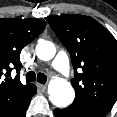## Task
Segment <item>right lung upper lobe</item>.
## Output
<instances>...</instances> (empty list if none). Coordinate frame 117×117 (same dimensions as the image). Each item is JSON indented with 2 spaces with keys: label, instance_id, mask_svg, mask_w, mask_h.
<instances>
[{
  "label": "right lung upper lobe",
  "instance_id": "right-lung-upper-lobe-1",
  "mask_svg": "<svg viewBox=\"0 0 117 117\" xmlns=\"http://www.w3.org/2000/svg\"><path fill=\"white\" fill-rule=\"evenodd\" d=\"M46 27L43 19L0 18V117L12 112L32 92L34 84L23 85L19 75L20 52Z\"/></svg>",
  "mask_w": 117,
  "mask_h": 117
}]
</instances>
